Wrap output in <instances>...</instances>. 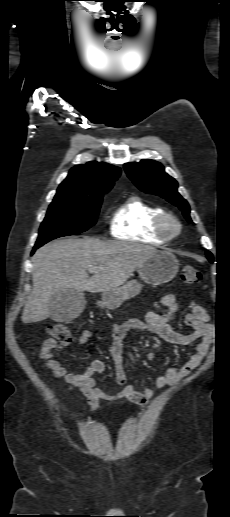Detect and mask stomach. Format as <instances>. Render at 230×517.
Here are the masks:
<instances>
[{
  "mask_svg": "<svg viewBox=\"0 0 230 517\" xmlns=\"http://www.w3.org/2000/svg\"><path fill=\"white\" fill-rule=\"evenodd\" d=\"M178 269L179 261L175 255L159 250L138 267V274L145 283L159 285L171 281L177 275ZM141 289V283L131 280L122 287L104 291L101 306L116 309L124 301L138 295Z\"/></svg>",
  "mask_w": 230,
  "mask_h": 517,
  "instance_id": "1",
  "label": "stomach"
}]
</instances>
